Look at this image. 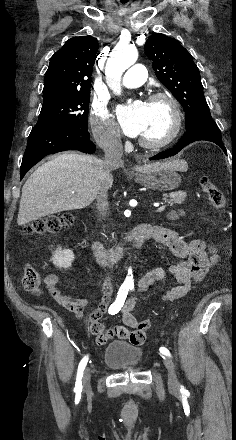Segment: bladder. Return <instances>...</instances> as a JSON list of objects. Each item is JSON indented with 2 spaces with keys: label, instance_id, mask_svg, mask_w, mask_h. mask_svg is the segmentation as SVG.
Returning a JSON list of instances; mask_svg holds the SVG:
<instances>
[{
  "label": "bladder",
  "instance_id": "1",
  "mask_svg": "<svg viewBox=\"0 0 236 440\" xmlns=\"http://www.w3.org/2000/svg\"><path fill=\"white\" fill-rule=\"evenodd\" d=\"M143 360V349L128 342L114 340L106 346L104 363L117 370H136Z\"/></svg>",
  "mask_w": 236,
  "mask_h": 440
}]
</instances>
